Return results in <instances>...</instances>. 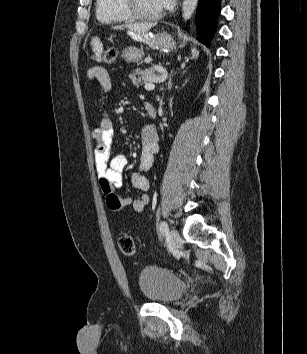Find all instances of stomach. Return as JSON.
<instances>
[{
	"label": "stomach",
	"mask_w": 307,
	"mask_h": 354,
	"mask_svg": "<svg viewBox=\"0 0 307 354\" xmlns=\"http://www.w3.org/2000/svg\"><path fill=\"white\" fill-rule=\"evenodd\" d=\"M133 39L145 43L153 49H159L168 52L175 49V43L173 38L166 32L154 35H151L149 33L137 34V38ZM143 55V51L136 47L125 48L122 52L123 58L129 63L140 61Z\"/></svg>",
	"instance_id": "1"
}]
</instances>
